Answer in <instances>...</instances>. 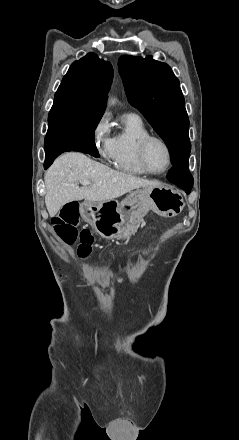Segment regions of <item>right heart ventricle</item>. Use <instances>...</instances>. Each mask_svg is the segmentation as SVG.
I'll list each match as a JSON object with an SVG mask.
<instances>
[{
	"label": "right heart ventricle",
	"mask_w": 239,
	"mask_h": 440,
	"mask_svg": "<svg viewBox=\"0 0 239 440\" xmlns=\"http://www.w3.org/2000/svg\"><path fill=\"white\" fill-rule=\"evenodd\" d=\"M149 134L141 118L128 115L125 118L124 129L113 137V152L110 157L112 166L120 171L133 175H146L140 165L137 144Z\"/></svg>",
	"instance_id": "1"
}]
</instances>
